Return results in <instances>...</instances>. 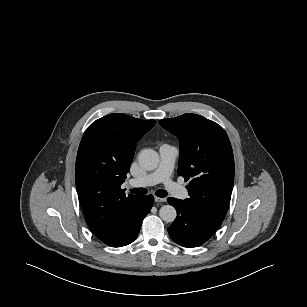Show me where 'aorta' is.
<instances>
[{
    "instance_id": "aorta-1",
    "label": "aorta",
    "mask_w": 307,
    "mask_h": 307,
    "mask_svg": "<svg viewBox=\"0 0 307 307\" xmlns=\"http://www.w3.org/2000/svg\"><path fill=\"white\" fill-rule=\"evenodd\" d=\"M159 161V155L153 149H144L138 155L139 165L147 171L156 169ZM159 216L165 222H173L176 219L177 212L173 206L164 205L159 210Z\"/></svg>"
}]
</instances>
